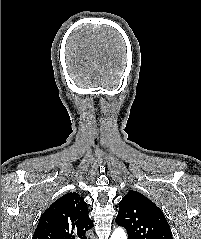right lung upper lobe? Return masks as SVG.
I'll use <instances>...</instances> for the list:
<instances>
[{
  "label": "right lung upper lobe",
  "instance_id": "obj_1",
  "mask_svg": "<svg viewBox=\"0 0 201 239\" xmlns=\"http://www.w3.org/2000/svg\"><path fill=\"white\" fill-rule=\"evenodd\" d=\"M92 227L84 198L71 192L41 215L32 239H87L86 232Z\"/></svg>",
  "mask_w": 201,
  "mask_h": 239
}]
</instances>
